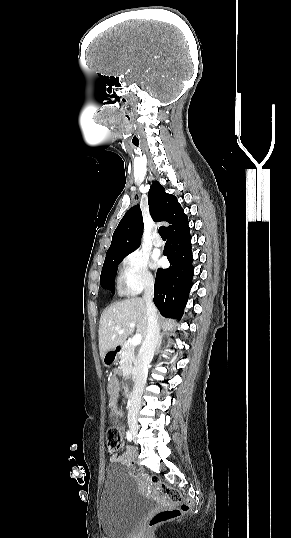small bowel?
I'll return each instance as SVG.
<instances>
[{"label": "small bowel", "mask_w": 291, "mask_h": 538, "mask_svg": "<svg viewBox=\"0 0 291 538\" xmlns=\"http://www.w3.org/2000/svg\"><path fill=\"white\" fill-rule=\"evenodd\" d=\"M108 391L110 394V410H111V420L112 422L118 427L120 430H122V426L120 424V417L122 413L117 407V397H118V391H119V383L116 378V373L113 375H110L108 378ZM134 457V449L133 447L129 446L127 449L119 455H113L110 457V461L112 463H123V464H129L131 463L132 459Z\"/></svg>", "instance_id": "c3829d8e"}]
</instances>
